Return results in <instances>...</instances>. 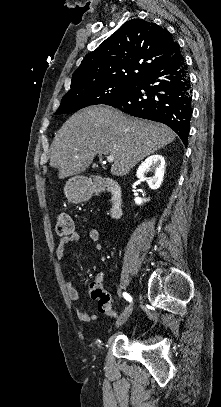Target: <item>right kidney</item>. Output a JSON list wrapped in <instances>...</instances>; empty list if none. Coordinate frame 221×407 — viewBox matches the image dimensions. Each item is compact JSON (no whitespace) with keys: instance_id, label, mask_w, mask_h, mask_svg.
<instances>
[{"instance_id":"obj_1","label":"right kidney","mask_w":221,"mask_h":407,"mask_svg":"<svg viewBox=\"0 0 221 407\" xmlns=\"http://www.w3.org/2000/svg\"><path fill=\"white\" fill-rule=\"evenodd\" d=\"M148 171L153 172L152 177H149V178L145 177V174ZM164 171H165L164 157L162 155L155 154V155L149 156L147 159H145V161H143L141 163V165L139 166V168L137 170L136 176L140 180H146L149 187L152 190H156L160 187V185L163 181ZM134 200H135V203L138 205L147 201V199H142L140 197H136Z\"/></svg>"}]
</instances>
